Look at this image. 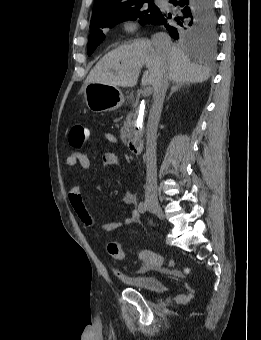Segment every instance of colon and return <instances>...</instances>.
I'll use <instances>...</instances> for the list:
<instances>
[{
  "label": "colon",
  "instance_id": "5ec220e1",
  "mask_svg": "<svg viewBox=\"0 0 261 340\" xmlns=\"http://www.w3.org/2000/svg\"><path fill=\"white\" fill-rule=\"evenodd\" d=\"M69 144L73 148H80L87 140L86 128L80 123L72 124L68 129ZM108 252L116 260H123L125 253L123 247L118 242H111L108 245ZM138 257L146 267L155 268L165 272L183 275L189 273L188 267H182L172 259H167L159 254L147 249H141Z\"/></svg>",
  "mask_w": 261,
  "mask_h": 340
}]
</instances>
